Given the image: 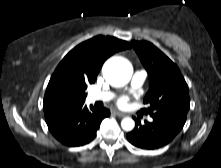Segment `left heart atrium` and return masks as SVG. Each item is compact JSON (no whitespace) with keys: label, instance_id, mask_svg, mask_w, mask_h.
<instances>
[{"label":"left heart atrium","instance_id":"1","mask_svg":"<svg viewBox=\"0 0 221 168\" xmlns=\"http://www.w3.org/2000/svg\"><path fill=\"white\" fill-rule=\"evenodd\" d=\"M128 103V98L127 97H121L119 100H118V105L120 107H125Z\"/></svg>","mask_w":221,"mask_h":168}]
</instances>
